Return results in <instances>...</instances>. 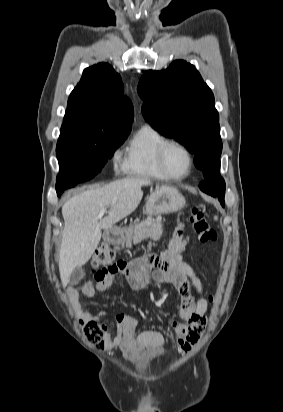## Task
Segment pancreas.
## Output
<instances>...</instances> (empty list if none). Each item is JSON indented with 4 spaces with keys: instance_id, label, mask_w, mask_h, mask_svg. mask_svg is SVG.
Masks as SVG:
<instances>
[{
    "instance_id": "1",
    "label": "pancreas",
    "mask_w": 283,
    "mask_h": 412,
    "mask_svg": "<svg viewBox=\"0 0 283 412\" xmlns=\"http://www.w3.org/2000/svg\"><path fill=\"white\" fill-rule=\"evenodd\" d=\"M162 222L161 219L152 220L146 219L141 223L130 226L126 231V245L140 243L143 239L151 238L158 240L162 236Z\"/></svg>"
}]
</instances>
